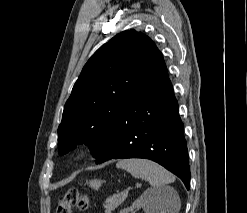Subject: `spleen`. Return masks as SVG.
<instances>
[{"mask_svg":"<svg viewBox=\"0 0 247 213\" xmlns=\"http://www.w3.org/2000/svg\"><path fill=\"white\" fill-rule=\"evenodd\" d=\"M116 167L126 170L135 178H141L148 181L154 189L164 187L166 184H169L175 180L174 176L170 172L150 160L137 158L124 159L120 160L116 164ZM168 204L175 206L174 213H178L180 205L177 196H173L172 200L168 201ZM161 206L162 205L160 203V209ZM160 212L165 213L162 209Z\"/></svg>","mask_w":247,"mask_h":213,"instance_id":"1","label":"spleen"}]
</instances>
